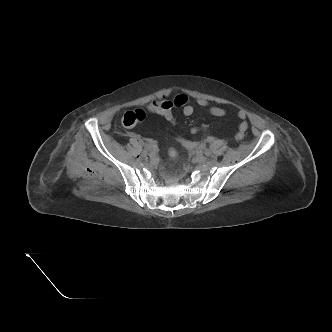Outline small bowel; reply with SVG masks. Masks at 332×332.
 <instances>
[{
    "instance_id": "1",
    "label": "small bowel",
    "mask_w": 332,
    "mask_h": 332,
    "mask_svg": "<svg viewBox=\"0 0 332 332\" xmlns=\"http://www.w3.org/2000/svg\"><path fill=\"white\" fill-rule=\"evenodd\" d=\"M160 101L163 103L169 104L172 109L180 108L182 110V113L186 117H190L194 113V107L190 104L189 98L185 94H178L173 99H162ZM196 103L198 106H200L202 108H206L212 116L223 117L226 115L225 109L218 107V106H211L210 103L206 99L198 98L196 100ZM155 114L162 116L161 110L156 111ZM237 116L241 121L238 125L237 132L235 133V138L237 140H241L244 137V135L248 129V123L246 121L247 116L244 111H239ZM203 126H205L207 128L206 125H203ZM177 141L182 146H184L185 148H188V149H192V148H195L198 146V143L192 142L181 136L177 137Z\"/></svg>"
}]
</instances>
